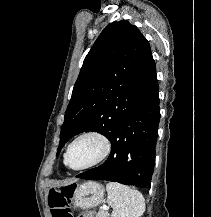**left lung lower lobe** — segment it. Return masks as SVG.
<instances>
[{"instance_id": "left-lung-lower-lobe-1", "label": "left lung lower lobe", "mask_w": 211, "mask_h": 217, "mask_svg": "<svg viewBox=\"0 0 211 217\" xmlns=\"http://www.w3.org/2000/svg\"><path fill=\"white\" fill-rule=\"evenodd\" d=\"M159 86L155 87L114 127L109 158L101 166L77 175L150 188L160 120Z\"/></svg>"}]
</instances>
